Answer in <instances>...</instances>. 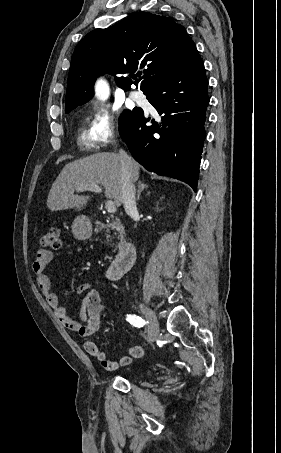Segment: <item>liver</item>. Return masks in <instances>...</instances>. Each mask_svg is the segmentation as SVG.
<instances>
[{
	"label": "liver",
	"instance_id": "liver-1",
	"mask_svg": "<svg viewBox=\"0 0 281 453\" xmlns=\"http://www.w3.org/2000/svg\"><path fill=\"white\" fill-rule=\"evenodd\" d=\"M128 168L132 182H136L140 176V164L130 158ZM121 170V158L116 152H95L68 162L54 180L46 204L50 210H82L87 206L90 196L74 194V190L84 184H102L105 196L114 198L116 206H121Z\"/></svg>",
	"mask_w": 281,
	"mask_h": 453
}]
</instances>
